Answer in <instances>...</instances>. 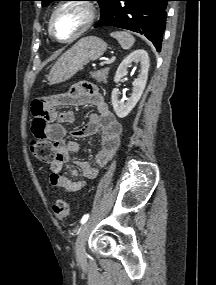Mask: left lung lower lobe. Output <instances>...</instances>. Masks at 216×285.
<instances>
[{"label":"left lung lower lobe","mask_w":216,"mask_h":285,"mask_svg":"<svg viewBox=\"0 0 216 285\" xmlns=\"http://www.w3.org/2000/svg\"><path fill=\"white\" fill-rule=\"evenodd\" d=\"M170 0H114L95 27L114 26L144 35L161 50L162 35Z\"/></svg>","instance_id":"obj_1"}]
</instances>
